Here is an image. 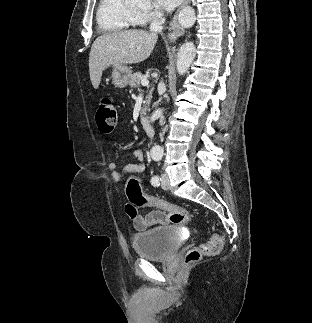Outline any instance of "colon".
<instances>
[{"label":"colon","mask_w":312,"mask_h":323,"mask_svg":"<svg viewBox=\"0 0 312 323\" xmlns=\"http://www.w3.org/2000/svg\"><path fill=\"white\" fill-rule=\"evenodd\" d=\"M118 111L111 97L105 96L99 100L96 124L100 132L112 133L118 124ZM141 177H127L126 193L130 203L125 205L127 215L134 219L137 217L135 206L150 204L151 206L162 209L169 213L170 221L174 224L187 223L191 221V213L182 206L170 204L167 201L157 197L145 196L141 189ZM223 239L219 236H211L210 239L200 246L190 249L186 254V263H196L202 254L212 255L223 248Z\"/></svg>","instance_id":"obj_1"}]
</instances>
